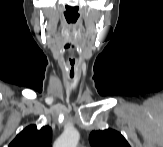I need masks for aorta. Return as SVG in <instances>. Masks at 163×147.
<instances>
[{"instance_id": "obj_1", "label": "aorta", "mask_w": 163, "mask_h": 147, "mask_svg": "<svg viewBox=\"0 0 163 147\" xmlns=\"http://www.w3.org/2000/svg\"><path fill=\"white\" fill-rule=\"evenodd\" d=\"M79 142V133L74 128L66 129L54 143L55 147H76Z\"/></svg>"}]
</instances>
